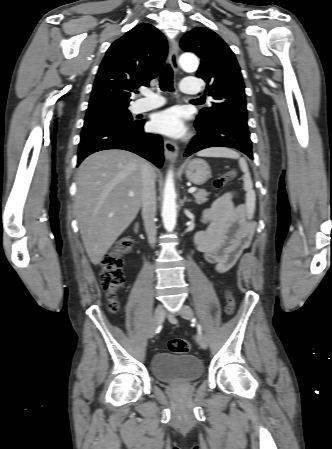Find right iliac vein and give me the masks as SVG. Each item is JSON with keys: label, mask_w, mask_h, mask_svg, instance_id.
<instances>
[{"label": "right iliac vein", "mask_w": 332, "mask_h": 449, "mask_svg": "<svg viewBox=\"0 0 332 449\" xmlns=\"http://www.w3.org/2000/svg\"><path fill=\"white\" fill-rule=\"evenodd\" d=\"M165 317V310L162 305H158L155 309L149 331L148 336L149 338H153L156 332V329L159 327V325L163 322Z\"/></svg>", "instance_id": "obj_1"}]
</instances>
